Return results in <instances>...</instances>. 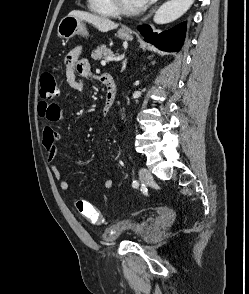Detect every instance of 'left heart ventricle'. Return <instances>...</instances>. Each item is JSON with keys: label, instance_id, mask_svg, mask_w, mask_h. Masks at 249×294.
<instances>
[{"label": "left heart ventricle", "instance_id": "b2bd125f", "mask_svg": "<svg viewBox=\"0 0 249 294\" xmlns=\"http://www.w3.org/2000/svg\"><path fill=\"white\" fill-rule=\"evenodd\" d=\"M125 7L130 9L139 8L135 0H122Z\"/></svg>", "mask_w": 249, "mask_h": 294}]
</instances>
